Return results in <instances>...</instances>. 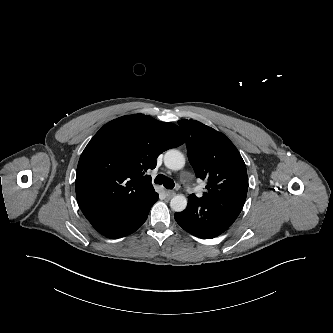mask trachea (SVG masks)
<instances>
[{
  "label": "trachea",
  "instance_id": "obj_1",
  "mask_svg": "<svg viewBox=\"0 0 333 333\" xmlns=\"http://www.w3.org/2000/svg\"><path fill=\"white\" fill-rule=\"evenodd\" d=\"M154 182L156 184L162 185L167 189H173L175 184L171 178L166 177L163 174H159L156 176Z\"/></svg>",
  "mask_w": 333,
  "mask_h": 333
}]
</instances>
